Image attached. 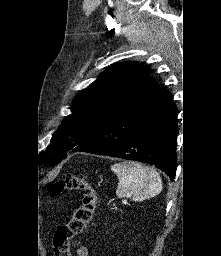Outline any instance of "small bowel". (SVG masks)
I'll return each mask as SVG.
<instances>
[{
    "label": "small bowel",
    "instance_id": "c3829d8e",
    "mask_svg": "<svg viewBox=\"0 0 221 256\" xmlns=\"http://www.w3.org/2000/svg\"><path fill=\"white\" fill-rule=\"evenodd\" d=\"M77 253H78V256H89L88 250L85 247H80Z\"/></svg>",
    "mask_w": 221,
    "mask_h": 256
}]
</instances>
